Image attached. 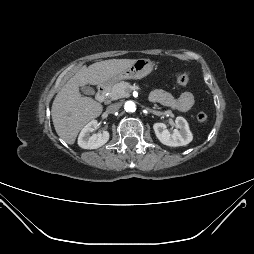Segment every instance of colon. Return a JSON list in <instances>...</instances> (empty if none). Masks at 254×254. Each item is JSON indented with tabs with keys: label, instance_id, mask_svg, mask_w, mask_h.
Listing matches in <instances>:
<instances>
[{
	"label": "colon",
	"instance_id": "obj_1",
	"mask_svg": "<svg viewBox=\"0 0 254 254\" xmlns=\"http://www.w3.org/2000/svg\"><path fill=\"white\" fill-rule=\"evenodd\" d=\"M191 75L192 71L190 69H186L176 77V82L179 85H186L190 81ZM196 118L199 122L204 123L207 121L208 116L204 112H199L196 115Z\"/></svg>",
	"mask_w": 254,
	"mask_h": 254
}]
</instances>
